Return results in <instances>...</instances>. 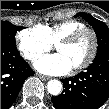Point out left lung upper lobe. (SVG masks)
Wrapping results in <instances>:
<instances>
[{
  "label": "left lung upper lobe",
  "instance_id": "5c2ea615",
  "mask_svg": "<svg viewBox=\"0 0 109 109\" xmlns=\"http://www.w3.org/2000/svg\"><path fill=\"white\" fill-rule=\"evenodd\" d=\"M76 16H81L95 30L98 41L97 54L100 52L109 51V28L107 27V25L87 13H78ZM70 95L77 96V91L70 92Z\"/></svg>",
  "mask_w": 109,
  "mask_h": 109
}]
</instances>
